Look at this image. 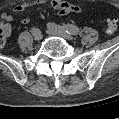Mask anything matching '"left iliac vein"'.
Masks as SVG:
<instances>
[{"label":"left iliac vein","instance_id":"4c4485c4","mask_svg":"<svg viewBox=\"0 0 119 119\" xmlns=\"http://www.w3.org/2000/svg\"><path fill=\"white\" fill-rule=\"evenodd\" d=\"M47 33L52 36H59L67 40H73V36L65 32L64 30L48 27Z\"/></svg>","mask_w":119,"mask_h":119}]
</instances>
